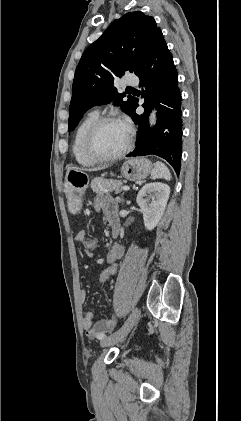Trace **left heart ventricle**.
Listing matches in <instances>:
<instances>
[{"instance_id":"b2bd125f","label":"left heart ventricle","mask_w":241,"mask_h":421,"mask_svg":"<svg viewBox=\"0 0 241 421\" xmlns=\"http://www.w3.org/2000/svg\"><path fill=\"white\" fill-rule=\"evenodd\" d=\"M127 140L128 128L122 122H110L98 131L95 147L102 154H114L124 148Z\"/></svg>"}]
</instances>
